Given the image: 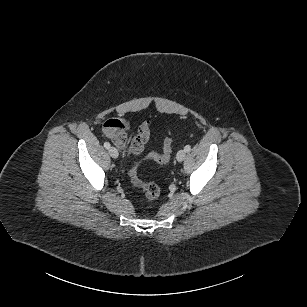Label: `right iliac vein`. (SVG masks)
<instances>
[{"label": "right iliac vein", "instance_id": "1", "mask_svg": "<svg viewBox=\"0 0 307 307\" xmlns=\"http://www.w3.org/2000/svg\"><path fill=\"white\" fill-rule=\"evenodd\" d=\"M109 154L112 158H117L119 155L118 150L115 147L109 148Z\"/></svg>", "mask_w": 307, "mask_h": 307}]
</instances>
